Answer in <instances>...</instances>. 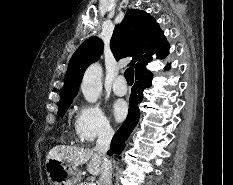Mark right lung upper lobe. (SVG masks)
Wrapping results in <instances>:
<instances>
[{"label": "right lung upper lobe", "mask_w": 233, "mask_h": 185, "mask_svg": "<svg viewBox=\"0 0 233 185\" xmlns=\"http://www.w3.org/2000/svg\"><path fill=\"white\" fill-rule=\"evenodd\" d=\"M110 47L118 61L132 56L130 66L135 73L146 69L152 55L164 59L169 54V44L155 19L144 11L130 9L123 21L115 26ZM103 51V42L97 36L84 41L70 59L61 92L60 102L72 101L77 95L84 71L97 61Z\"/></svg>", "instance_id": "right-lung-upper-lobe-1"}]
</instances>
